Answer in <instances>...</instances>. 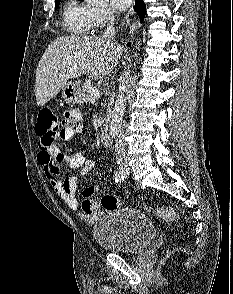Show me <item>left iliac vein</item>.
Wrapping results in <instances>:
<instances>
[{
	"instance_id": "1",
	"label": "left iliac vein",
	"mask_w": 233,
	"mask_h": 294,
	"mask_svg": "<svg viewBox=\"0 0 233 294\" xmlns=\"http://www.w3.org/2000/svg\"><path fill=\"white\" fill-rule=\"evenodd\" d=\"M125 177H128V173H127V174H125Z\"/></svg>"
}]
</instances>
